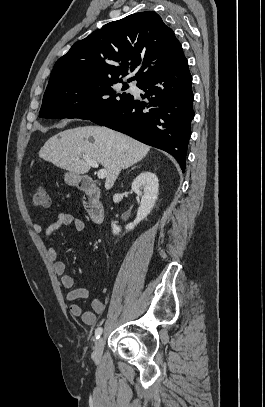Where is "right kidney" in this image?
<instances>
[{
  "label": "right kidney",
  "mask_w": 265,
  "mask_h": 407,
  "mask_svg": "<svg viewBox=\"0 0 265 407\" xmlns=\"http://www.w3.org/2000/svg\"><path fill=\"white\" fill-rule=\"evenodd\" d=\"M158 178L156 174L144 171L140 173L132 182V190L141 196L140 206L138 208L137 217L126 226V231H131L144 220L152 211L157 197H158ZM143 189V192L141 191ZM112 232L114 235H118L121 232V228L112 222Z\"/></svg>",
  "instance_id": "right-kidney-1"
}]
</instances>
